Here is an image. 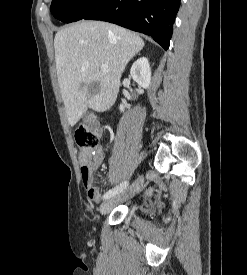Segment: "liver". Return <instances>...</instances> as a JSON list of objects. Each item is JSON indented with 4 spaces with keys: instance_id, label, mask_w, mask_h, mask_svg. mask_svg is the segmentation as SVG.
<instances>
[{
    "instance_id": "1",
    "label": "liver",
    "mask_w": 247,
    "mask_h": 275,
    "mask_svg": "<svg viewBox=\"0 0 247 275\" xmlns=\"http://www.w3.org/2000/svg\"><path fill=\"white\" fill-rule=\"evenodd\" d=\"M144 45L135 33L101 21H81L56 33V72L70 126L88 108L103 112L114 104L126 65Z\"/></svg>"
}]
</instances>
